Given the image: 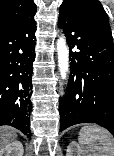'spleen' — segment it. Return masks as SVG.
<instances>
[{
  "mask_svg": "<svg viewBox=\"0 0 114 156\" xmlns=\"http://www.w3.org/2000/svg\"><path fill=\"white\" fill-rule=\"evenodd\" d=\"M78 141L86 156H114V139L103 127L98 125L82 127Z\"/></svg>",
  "mask_w": 114,
  "mask_h": 156,
  "instance_id": "spleen-1",
  "label": "spleen"
}]
</instances>
